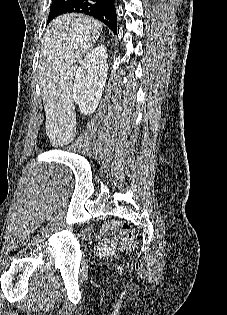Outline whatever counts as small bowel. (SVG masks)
<instances>
[{"label":"small bowel","instance_id":"c3829d8e","mask_svg":"<svg viewBox=\"0 0 227 315\" xmlns=\"http://www.w3.org/2000/svg\"><path fill=\"white\" fill-rule=\"evenodd\" d=\"M118 225L115 222L109 223L102 229L103 234L106 236L100 243V246L104 249L115 248L118 244V239L114 235Z\"/></svg>","mask_w":227,"mask_h":315}]
</instances>
